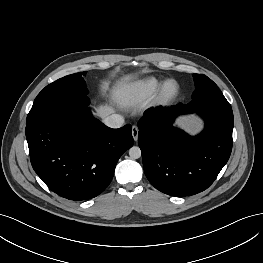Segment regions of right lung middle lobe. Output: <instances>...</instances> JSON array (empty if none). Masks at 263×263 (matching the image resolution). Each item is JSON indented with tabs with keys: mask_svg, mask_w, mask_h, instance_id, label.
Here are the masks:
<instances>
[{
	"mask_svg": "<svg viewBox=\"0 0 263 263\" xmlns=\"http://www.w3.org/2000/svg\"><path fill=\"white\" fill-rule=\"evenodd\" d=\"M75 73L56 80L46 86L36 97L27 116L26 125L44 116L58 107L78 109L83 105L84 96L88 93L82 75Z\"/></svg>",
	"mask_w": 263,
	"mask_h": 263,
	"instance_id": "right-lung-middle-lobe-1",
	"label": "right lung middle lobe"
}]
</instances>
